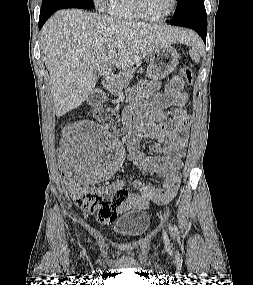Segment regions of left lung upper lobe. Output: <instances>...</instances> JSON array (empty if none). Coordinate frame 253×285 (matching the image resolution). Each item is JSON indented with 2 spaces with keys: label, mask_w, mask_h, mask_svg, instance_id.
<instances>
[{
  "label": "left lung upper lobe",
  "mask_w": 253,
  "mask_h": 285,
  "mask_svg": "<svg viewBox=\"0 0 253 285\" xmlns=\"http://www.w3.org/2000/svg\"><path fill=\"white\" fill-rule=\"evenodd\" d=\"M197 1H201V0H178L177 10L174 13V16H177L178 14L186 10L190 5L194 4Z\"/></svg>",
  "instance_id": "5c2ea615"
}]
</instances>
